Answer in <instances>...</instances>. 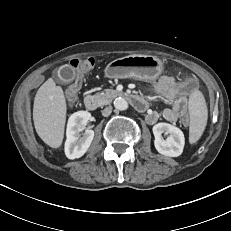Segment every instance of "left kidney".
<instances>
[{
    "instance_id": "1",
    "label": "left kidney",
    "mask_w": 231,
    "mask_h": 231,
    "mask_svg": "<svg viewBox=\"0 0 231 231\" xmlns=\"http://www.w3.org/2000/svg\"><path fill=\"white\" fill-rule=\"evenodd\" d=\"M162 133L168 135L167 139H163ZM153 134L155 148L160 154L168 157H178L182 154L185 138L179 128L168 123H158L153 126Z\"/></svg>"
}]
</instances>
